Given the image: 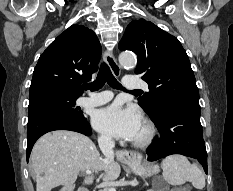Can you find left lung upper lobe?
<instances>
[{"label":"left lung upper lobe","instance_id":"left-lung-upper-lobe-1","mask_svg":"<svg viewBox=\"0 0 233 191\" xmlns=\"http://www.w3.org/2000/svg\"><path fill=\"white\" fill-rule=\"evenodd\" d=\"M120 50L138 56L136 74L148 83L149 92L138 98L154 119L166 106H188L200 110L199 91L189 58L177 38L144 19L132 21L119 43Z\"/></svg>","mask_w":233,"mask_h":191}]
</instances>
